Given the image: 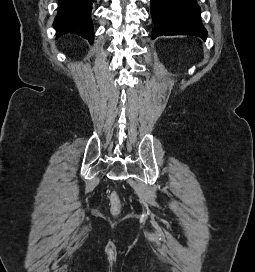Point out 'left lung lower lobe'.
I'll list each match as a JSON object with an SVG mask.
<instances>
[{
  "label": "left lung lower lobe",
  "mask_w": 255,
  "mask_h": 272,
  "mask_svg": "<svg viewBox=\"0 0 255 272\" xmlns=\"http://www.w3.org/2000/svg\"><path fill=\"white\" fill-rule=\"evenodd\" d=\"M152 39L161 35H195L206 39L196 0H151Z\"/></svg>",
  "instance_id": "left-lung-lower-lobe-1"
}]
</instances>
